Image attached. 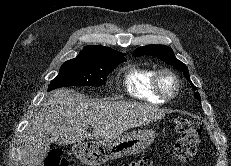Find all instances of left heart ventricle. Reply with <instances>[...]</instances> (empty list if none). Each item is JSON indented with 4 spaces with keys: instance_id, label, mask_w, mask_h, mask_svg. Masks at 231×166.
Instances as JSON below:
<instances>
[{
    "instance_id": "obj_1",
    "label": "left heart ventricle",
    "mask_w": 231,
    "mask_h": 166,
    "mask_svg": "<svg viewBox=\"0 0 231 166\" xmlns=\"http://www.w3.org/2000/svg\"><path fill=\"white\" fill-rule=\"evenodd\" d=\"M162 86L168 93H171L174 90V82L168 76H164L162 78Z\"/></svg>"
}]
</instances>
